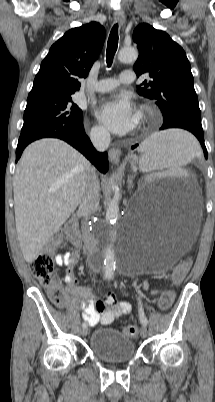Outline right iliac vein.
I'll list each match as a JSON object with an SVG mask.
<instances>
[{
	"mask_svg": "<svg viewBox=\"0 0 215 402\" xmlns=\"http://www.w3.org/2000/svg\"><path fill=\"white\" fill-rule=\"evenodd\" d=\"M87 334H88V329H87V327H86V328H83V329L81 330V335H82L83 337H85Z\"/></svg>",
	"mask_w": 215,
	"mask_h": 402,
	"instance_id": "obj_1",
	"label": "right iliac vein"
}]
</instances>
